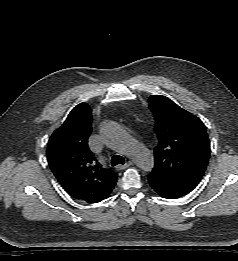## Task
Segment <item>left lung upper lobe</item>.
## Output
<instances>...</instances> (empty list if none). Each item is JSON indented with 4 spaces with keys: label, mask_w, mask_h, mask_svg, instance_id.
<instances>
[{
    "label": "left lung upper lobe",
    "mask_w": 238,
    "mask_h": 261,
    "mask_svg": "<svg viewBox=\"0 0 238 261\" xmlns=\"http://www.w3.org/2000/svg\"><path fill=\"white\" fill-rule=\"evenodd\" d=\"M159 143L148 176L181 192H191L202 179L210 157L203 122L165 96L149 98Z\"/></svg>",
    "instance_id": "left-lung-upper-lobe-1"
}]
</instances>
